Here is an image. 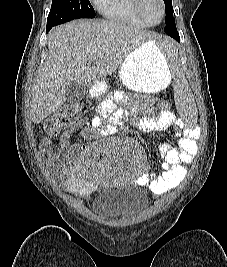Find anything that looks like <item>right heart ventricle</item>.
<instances>
[{
    "label": "right heart ventricle",
    "mask_w": 227,
    "mask_h": 267,
    "mask_svg": "<svg viewBox=\"0 0 227 267\" xmlns=\"http://www.w3.org/2000/svg\"><path fill=\"white\" fill-rule=\"evenodd\" d=\"M97 9L105 18L114 22L135 26L148 25L137 14L134 0H101Z\"/></svg>",
    "instance_id": "e07e8e85"
}]
</instances>
